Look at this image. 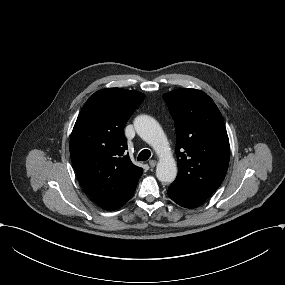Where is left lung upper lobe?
Returning <instances> with one entry per match:
<instances>
[{"mask_svg": "<svg viewBox=\"0 0 285 285\" xmlns=\"http://www.w3.org/2000/svg\"><path fill=\"white\" fill-rule=\"evenodd\" d=\"M175 122L178 175L173 184L207 199L221 185L229 164L225 124L213 100L197 89L163 95Z\"/></svg>", "mask_w": 285, "mask_h": 285, "instance_id": "obj_1", "label": "left lung upper lobe"}]
</instances>
